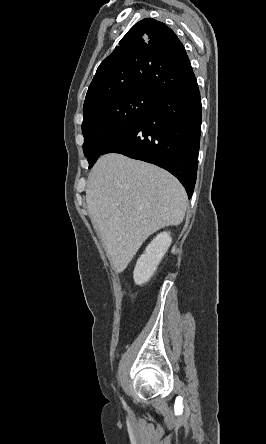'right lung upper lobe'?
Masks as SVG:
<instances>
[{
  "mask_svg": "<svg viewBox=\"0 0 266 444\" xmlns=\"http://www.w3.org/2000/svg\"><path fill=\"white\" fill-rule=\"evenodd\" d=\"M195 78L184 46L164 23L145 18L120 40L98 67L88 88L83 111L97 102L130 91L158 97Z\"/></svg>",
  "mask_w": 266,
  "mask_h": 444,
  "instance_id": "right-lung-upper-lobe-1",
  "label": "right lung upper lobe"
}]
</instances>
